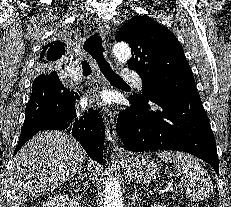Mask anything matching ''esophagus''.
<instances>
[{"label":"esophagus","instance_id":"34e87169","mask_svg":"<svg viewBox=\"0 0 231 207\" xmlns=\"http://www.w3.org/2000/svg\"><path fill=\"white\" fill-rule=\"evenodd\" d=\"M97 26L102 35H107L109 33L110 24L108 21L99 20L97 21ZM103 119L107 140L112 144L114 152H121L122 148L118 146L115 113H113L109 108H105L103 112Z\"/></svg>","mask_w":231,"mask_h":207}]
</instances>
